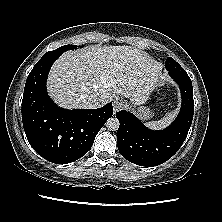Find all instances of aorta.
<instances>
[{"label": "aorta", "mask_w": 222, "mask_h": 222, "mask_svg": "<svg viewBox=\"0 0 222 222\" xmlns=\"http://www.w3.org/2000/svg\"><path fill=\"white\" fill-rule=\"evenodd\" d=\"M119 120L117 118H109L106 122V127L108 128V130L110 131H117L119 128Z\"/></svg>", "instance_id": "aorta-1"}]
</instances>
